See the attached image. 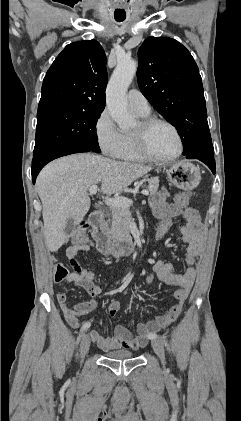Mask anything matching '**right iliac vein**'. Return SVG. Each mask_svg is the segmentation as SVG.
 Masks as SVG:
<instances>
[{"mask_svg":"<svg viewBox=\"0 0 241 421\" xmlns=\"http://www.w3.org/2000/svg\"><path fill=\"white\" fill-rule=\"evenodd\" d=\"M90 348V337L88 334H84L80 343V356L81 360L84 359Z\"/></svg>","mask_w":241,"mask_h":421,"instance_id":"right-iliac-vein-1","label":"right iliac vein"}]
</instances>
